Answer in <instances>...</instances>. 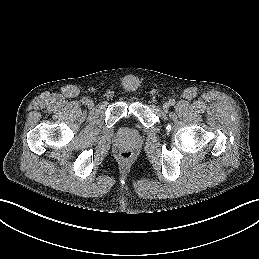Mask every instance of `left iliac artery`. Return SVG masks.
I'll use <instances>...</instances> for the list:
<instances>
[{
	"mask_svg": "<svg viewBox=\"0 0 259 259\" xmlns=\"http://www.w3.org/2000/svg\"><path fill=\"white\" fill-rule=\"evenodd\" d=\"M169 104L173 106V105L175 104V100H174V99H171V100L169 101Z\"/></svg>",
	"mask_w": 259,
	"mask_h": 259,
	"instance_id": "obj_1",
	"label": "left iliac artery"
}]
</instances>
